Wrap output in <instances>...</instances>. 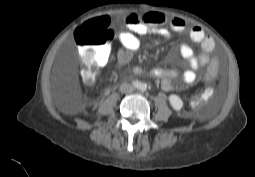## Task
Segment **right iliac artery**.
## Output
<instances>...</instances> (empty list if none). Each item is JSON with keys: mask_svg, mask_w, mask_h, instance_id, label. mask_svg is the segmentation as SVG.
Wrapping results in <instances>:
<instances>
[{"mask_svg": "<svg viewBox=\"0 0 255 177\" xmlns=\"http://www.w3.org/2000/svg\"><path fill=\"white\" fill-rule=\"evenodd\" d=\"M132 84L136 88H140L141 87V83L139 81H133Z\"/></svg>", "mask_w": 255, "mask_h": 177, "instance_id": "1", "label": "right iliac artery"}]
</instances>
